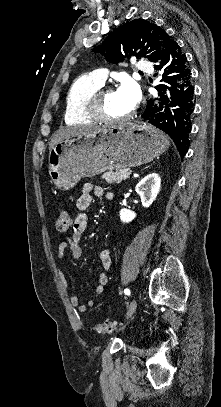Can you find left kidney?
<instances>
[{
  "label": "left kidney",
  "mask_w": 221,
  "mask_h": 407,
  "mask_svg": "<svg viewBox=\"0 0 221 407\" xmlns=\"http://www.w3.org/2000/svg\"><path fill=\"white\" fill-rule=\"evenodd\" d=\"M161 186L159 174L151 173L144 177L135 188V191L140 196L142 206L148 208L156 199ZM136 217V214L128 209L120 210V219L123 223H129Z\"/></svg>",
  "instance_id": "left-kidney-1"
}]
</instances>
